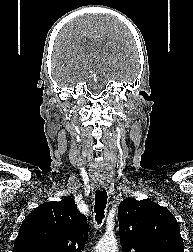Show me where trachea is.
I'll return each instance as SVG.
<instances>
[{"instance_id": "trachea-1", "label": "trachea", "mask_w": 193, "mask_h": 252, "mask_svg": "<svg viewBox=\"0 0 193 252\" xmlns=\"http://www.w3.org/2000/svg\"><path fill=\"white\" fill-rule=\"evenodd\" d=\"M106 204H107L106 190L98 191L95 194V206H94L95 220L97 221L98 224L102 223V220L104 218Z\"/></svg>"}]
</instances>
